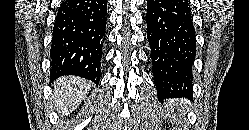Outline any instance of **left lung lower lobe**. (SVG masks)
I'll list each match as a JSON object with an SVG mask.
<instances>
[{
  "label": "left lung lower lobe",
  "mask_w": 249,
  "mask_h": 130,
  "mask_svg": "<svg viewBox=\"0 0 249 130\" xmlns=\"http://www.w3.org/2000/svg\"><path fill=\"white\" fill-rule=\"evenodd\" d=\"M147 39L160 98L192 95L196 35L186 0H147Z\"/></svg>",
  "instance_id": "0a47b994"
}]
</instances>
